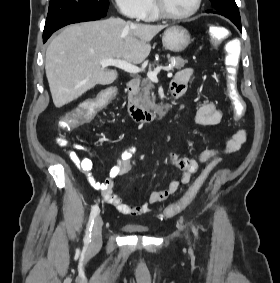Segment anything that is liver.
<instances>
[{
	"label": "liver",
	"mask_w": 280,
	"mask_h": 283,
	"mask_svg": "<svg viewBox=\"0 0 280 283\" xmlns=\"http://www.w3.org/2000/svg\"><path fill=\"white\" fill-rule=\"evenodd\" d=\"M165 27L109 18L63 29L49 44L45 59L54 105L60 108L96 85L113 83L118 73L102 67V60L142 63L150 54L149 42Z\"/></svg>",
	"instance_id": "6515ba94"
}]
</instances>
